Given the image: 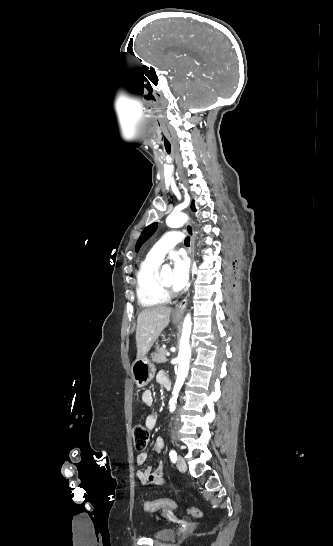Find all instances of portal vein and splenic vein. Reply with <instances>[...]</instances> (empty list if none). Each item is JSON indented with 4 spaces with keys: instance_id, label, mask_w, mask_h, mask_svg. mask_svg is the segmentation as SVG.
I'll list each match as a JSON object with an SVG mask.
<instances>
[{
    "instance_id": "18ae733b",
    "label": "portal vein and splenic vein",
    "mask_w": 333,
    "mask_h": 546,
    "mask_svg": "<svg viewBox=\"0 0 333 546\" xmlns=\"http://www.w3.org/2000/svg\"><path fill=\"white\" fill-rule=\"evenodd\" d=\"M166 356H170V352H167V353H166Z\"/></svg>"
}]
</instances>
